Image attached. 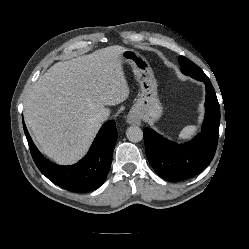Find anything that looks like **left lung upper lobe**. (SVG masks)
Here are the masks:
<instances>
[{
  "instance_id": "left-lung-upper-lobe-1",
  "label": "left lung upper lobe",
  "mask_w": 249,
  "mask_h": 249,
  "mask_svg": "<svg viewBox=\"0 0 249 249\" xmlns=\"http://www.w3.org/2000/svg\"><path fill=\"white\" fill-rule=\"evenodd\" d=\"M179 62H180L182 73L186 75L191 76L193 74L203 72L195 63H193L192 61H189L184 56L179 57Z\"/></svg>"
}]
</instances>
